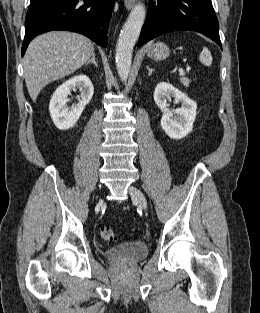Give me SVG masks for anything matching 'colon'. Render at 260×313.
<instances>
[{
	"mask_svg": "<svg viewBox=\"0 0 260 313\" xmlns=\"http://www.w3.org/2000/svg\"><path fill=\"white\" fill-rule=\"evenodd\" d=\"M99 234L101 238L107 242H114L116 240V235L114 231L106 225L100 226Z\"/></svg>",
	"mask_w": 260,
	"mask_h": 313,
	"instance_id": "colon-1",
	"label": "colon"
}]
</instances>
